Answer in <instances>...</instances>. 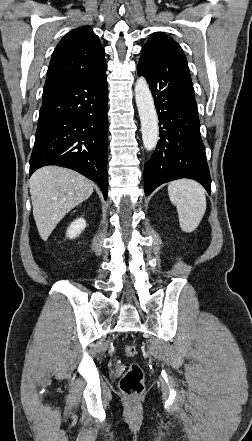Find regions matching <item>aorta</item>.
<instances>
[{"label":"aorta","instance_id":"762f6f07","mask_svg":"<svg viewBox=\"0 0 252 441\" xmlns=\"http://www.w3.org/2000/svg\"><path fill=\"white\" fill-rule=\"evenodd\" d=\"M135 100L141 121L142 140L146 150H153L158 142V117L147 81L139 77L135 84Z\"/></svg>","mask_w":252,"mask_h":441}]
</instances>
